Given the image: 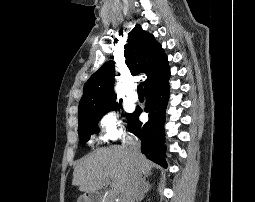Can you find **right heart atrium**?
Listing matches in <instances>:
<instances>
[{
  "label": "right heart atrium",
  "instance_id": "obj_1",
  "mask_svg": "<svg viewBox=\"0 0 255 202\" xmlns=\"http://www.w3.org/2000/svg\"><path fill=\"white\" fill-rule=\"evenodd\" d=\"M101 140L112 142L121 138L125 133V127L121 114L114 109L106 110L99 119Z\"/></svg>",
  "mask_w": 255,
  "mask_h": 202
}]
</instances>
